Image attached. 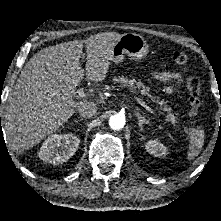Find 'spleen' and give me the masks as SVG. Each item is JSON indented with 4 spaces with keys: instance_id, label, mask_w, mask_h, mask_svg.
<instances>
[{
    "instance_id": "1",
    "label": "spleen",
    "mask_w": 221,
    "mask_h": 221,
    "mask_svg": "<svg viewBox=\"0 0 221 221\" xmlns=\"http://www.w3.org/2000/svg\"><path fill=\"white\" fill-rule=\"evenodd\" d=\"M205 133L201 127L192 128L188 133L189 145H188V159H194L200 153L204 145Z\"/></svg>"
}]
</instances>
